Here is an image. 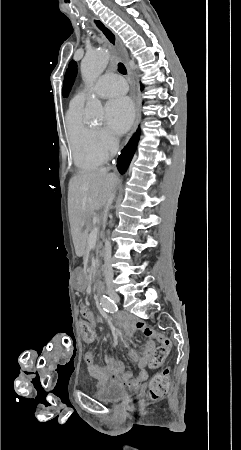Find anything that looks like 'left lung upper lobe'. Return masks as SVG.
<instances>
[{
  "label": "left lung upper lobe",
  "mask_w": 241,
  "mask_h": 450,
  "mask_svg": "<svg viewBox=\"0 0 241 450\" xmlns=\"http://www.w3.org/2000/svg\"><path fill=\"white\" fill-rule=\"evenodd\" d=\"M77 75V63L75 61H71L69 63V67L66 70L65 79L63 83V96L67 97L71 87L75 81V77Z\"/></svg>",
  "instance_id": "left-lung-upper-lobe-1"
}]
</instances>
